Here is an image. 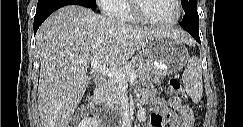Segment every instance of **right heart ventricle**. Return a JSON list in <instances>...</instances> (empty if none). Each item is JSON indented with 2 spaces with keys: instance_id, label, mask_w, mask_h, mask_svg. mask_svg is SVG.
Segmentation results:
<instances>
[{
  "instance_id": "1",
  "label": "right heart ventricle",
  "mask_w": 243,
  "mask_h": 127,
  "mask_svg": "<svg viewBox=\"0 0 243 127\" xmlns=\"http://www.w3.org/2000/svg\"><path fill=\"white\" fill-rule=\"evenodd\" d=\"M131 3L132 0H116L113 3V16L122 22L139 23L140 21L132 12Z\"/></svg>"
}]
</instances>
